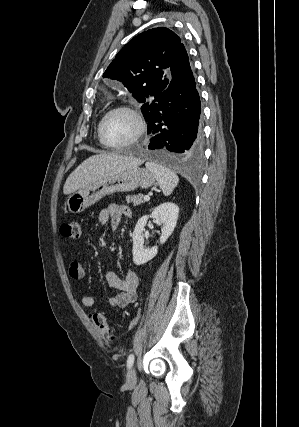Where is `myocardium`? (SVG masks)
Returning <instances> with one entry per match:
<instances>
[{
    "label": "myocardium",
    "mask_w": 299,
    "mask_h": 427,
    "mask_svg": "<svg viewBox=\"0 0 299 427\" xmlns=\"http://www.w3.org/2000/svg\"><path fill=\"white\" fill-rule=\"evenodd\" d=\"M116 112H125L128 113L135 121L136 124V132L134 134V136L127 141L126 143L123 144H118V145H114V144H109L104 140L103 137V125L105 123V121L107 120V118L112 115L113 113ZM146 131V123L144 120L143 115L141 114V112L135 108L134 106L131 105H127V104H123V105H118L116 107H113L112 109H110L109 111H107L104 116L101 118L99 124H98V129H97V134H98V138L100 143L109 149H124L127 148L133 144H135L145 133Z\"/></svg>",
    "instance_id": "myocardium-1"
}]
</instances>
